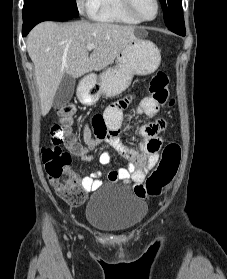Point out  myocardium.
Listing matches in <instances>:
<instances>
[{"mask_svg": "<svg viewBox=\"0 0 227 279\" xmlns=\"http://www.w3.org/2000/svg\"><path fill=\"white\" fill-rule=\"evenodd\" d=\"M124 4L127 8V10L130 12V14L136 18L137 20H139L140 22H150L153 21L157 18L159 11H160V3L159 0H154L155 2V6H156V13L152 18H143L141 17L137 11L135 10L134 4H133V0H123Z\"/></svg>", "mask_w": 227, "mask_h": 279, "instance_id": "f54148a6", "label": "myocardium"}]
</instances>
